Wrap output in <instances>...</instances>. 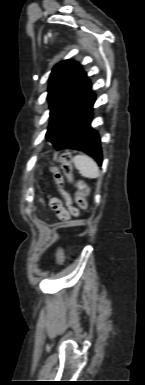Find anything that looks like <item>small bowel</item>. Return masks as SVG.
<instances>
[{"instance_id":"small-bowel-1","label":"small bowel","mask_w":145,"mask_h":385,"mask_svg":"<svg viewBox=\"0 0 145 385\" xmlns=\"http://www.w3.org/2000/svg\"><path fill=\"white\" fill-rule=\"evenodd\" d=\"M49 205L51 209L55 211L58 219L60 220L59 227H67L70 224V219L72 216L69 209L65 207L62 201L57 197H50ZM56 258L58 261H62L63 253L61 249L57 251Z\"/></svg>"}]
</instances>
